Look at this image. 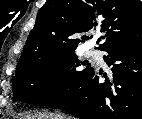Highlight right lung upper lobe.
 <instances>
[{
  "mask_svg": "<svg viewBox=\"0 0 142 119\" xmlns=\"http://www.w3.org/2000/svg\"><path fill=\"white\" fill-rule=\"evenodd\" d=\"M98 30L104 35L99 50L142 37V4L139 0H47L38 12L16 71L47 55L75 51ZM100 39H98V42Z\"/></svg>",
  "mask_w": 142,
  "mask_h": 119,
  "instance_id": "right-lung-upper-lobe-1",
  "label": "right lung upper lobe"
}]
</instances>
